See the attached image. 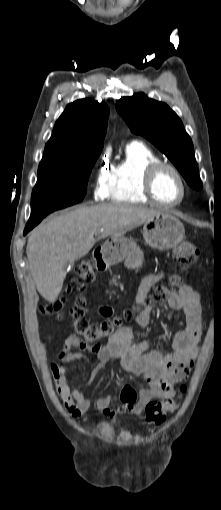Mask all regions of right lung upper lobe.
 Here are the masks:
<instances>
[{
	"instance_id": "cb5924a9",
	"label": "right lung upper lobe",
	"mask_w": 221,
	"mask_h": 510,
	"mask_svg": "<svg viewBox=\"0 0 221 510\" xmlns=\"http://www.w3.org/2000/svg\"><path fill=\"white\" fill-rule=\"evenodd\" d=\"M109 109L92 99L77 100L56 121L42 160L103 148Z\"/></svg>"
}]
</instances>
